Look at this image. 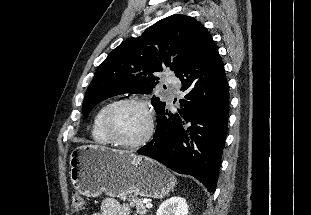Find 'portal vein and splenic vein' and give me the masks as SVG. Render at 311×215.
<instances>
[{
	"label": "portal vein and splenic vein",
	"mask_w": 311,
	"mask_h": 215,
	"mask_svg": "<svg viewBox=\"0 0 311 215\" xmlns=\"http://www.w3.org/2000/svg\"><path fill=\"white\" fill-rule=\"evenodd\" d=\"M145 206H146L147 208H151V207H152V204L149 203V202H146Z\"/></svg>",
	"instance_id": "18ae733b"
}]
</instances>
